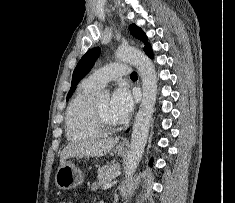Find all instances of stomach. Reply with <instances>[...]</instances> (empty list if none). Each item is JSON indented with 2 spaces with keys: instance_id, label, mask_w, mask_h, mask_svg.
<instances>
[{
  "instance_id": "0dacf381",
  "label": "stomach",
  "mask_w": 235,
  "mask_h": 203,
  "mask_svg": "<svg viewBox=\"0 0 235 203\" xmlns=\"http://www.w3.org/2000/svg\"><path fill=\"white\" fill-rule=\"evenodd\" d=\"M114 153L122 156L126 152V148L118 145L113 149ZM84 181V174L71 160L65 161L64 164L60 165L56 175L55 183L61 190H70Z\"/></svg>"
}]
</instances>
